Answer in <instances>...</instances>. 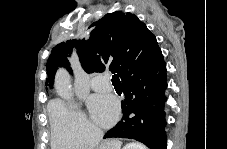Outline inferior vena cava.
Returning a JSON list of instances; mask_svg holds the SVG:
<instances>
[{"label": "inferior vena cava", "mask_w": 227, "mask_h": 149, "mask_svg": "<svg viewBox=\"0 0 227 149\" xmlns=\"http://www.w3.org/2000/svg\"><path fill=\"white\" fill-rule=\"evenodd\" d=\"M103 137V133L101 131H95L93 133V139H95L96 141H100Z\"/></svg>", "instance_id": "602c4592"}]
</instances>
